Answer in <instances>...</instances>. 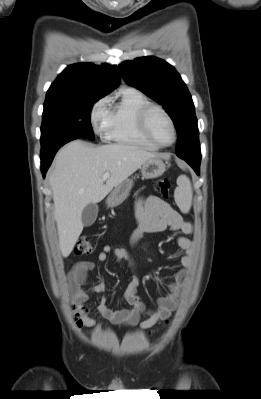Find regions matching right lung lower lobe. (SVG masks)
Here are the masks:
<instances>
[{
	"label": "right lung lower lobe",
	"instance_id": "right-lung-lower-lobe-1",
	"mask_svg": "<svg viewBox=\"0 0 261 399\" xmlns=\"http://www.w3.org/2000/svg\"><path fill=\"white\" fill-rule=\"evenodd\" d=\"M80 138L78 135L74 134H66L62 135L51 142H48L45 145H42L41 149V171L43 176L45 177L46 171L50 166L56 152L59 150L67 142H70L74 139Z\"/></svg>",
	"mask_w": 261,
	"mask_h": 399
}]
</instances>
